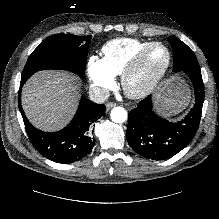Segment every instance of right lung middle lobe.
<instances>
[{
	"mask_svg": "<svg viewBox=\"0 0 219 219\" xmlns=\"http://www.w3.org/2000/svg\"><path fill=\"white\" fill-rule=\"evenodd\" d=\"M91 37L56 34L47 38L29 56L21 82L45 69H65L83 77Z\"/></svg>",
	"mask_w": 219,
	"mask_h": 219,
	"instance_id": "obj_1",
	"label": "right lung middle lobe"
}]
</instances>
